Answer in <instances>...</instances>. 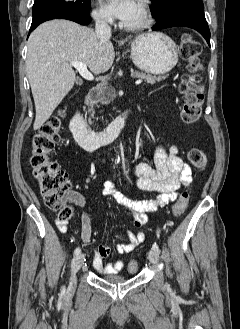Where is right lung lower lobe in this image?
<instances>
[{"label":"right lung lower lobe","mask_w":240,"mask_h":329,"mask_svg":"<svg viewBox=\"0 0 240 329\" xmlns=\"http://www.w3.org/2000/svg\"><path fill=\"white\" fill-rule=\"evenodd\" d=\"M32 15L33 20L30 32L33 31L42 22L55 18L71 20L81 25H88L91 21L90 14L58 8H38L33 10Z\"/></svg>","instance_id":"1"}]
</instances>
